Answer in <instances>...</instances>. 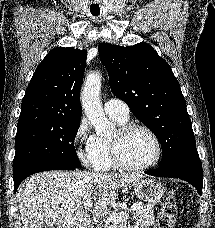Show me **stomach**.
Returning a JSON list of instances; mask_svg holds the SVG:
<instances>
[{"label":"stomach","instance_id":"0dacf381","mask_svg":"<svg viewBox=\"0 0 215 228\" xmlns=\"http://www.w3.org/2000/svg\"><path fill=\"white\" fill-rule=\"evenodd\" d=\"M131 186L136 198L142 200V202L151 204V206L159 204L166 192L161 182L153 180V178H149V180H140V182H132Z\"/></svg>","mask_w":215,"mask_h":228}]
</instances>
